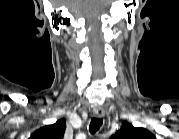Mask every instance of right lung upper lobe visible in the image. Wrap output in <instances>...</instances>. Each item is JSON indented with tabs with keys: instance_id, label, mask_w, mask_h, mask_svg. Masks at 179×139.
<instances>
[{
	"instance_id": "right-lung-upper-lobe-1",
	"label": "right lung upper lobe",
	"mask_w": 179,
	"mask_h": 139,
	"mask_svg": "<svg viewBox=\"0 0 179 139\" xmlns=\"http://www.w3.org/2000/svg\"><path fill=\"white\" fill-rule=\"evenodd\" d=\"M66 124L64 119L58 120L55 124L45 126L35 131L30 139H62Z\"/></svg>"
}]
</instances>
